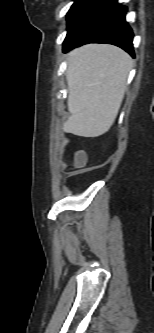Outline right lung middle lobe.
<instances>
[{"label": "right lung middle lobe", "instance_id": "right-lung-middle-lobe-1", "mask_svg": "<svg viewBox=\"0 0 154 333\" xmlns=\"http://www.w3.org/2000/svg\"><path fill=\"white\" fill-rule=\"evenodd\" d=\"M102 0H75L67 14L68 34L76 31L101 4Z\"/></svg>", "mask_w": 154, "mask_h": 333}]
</instances>
